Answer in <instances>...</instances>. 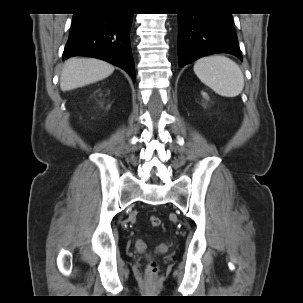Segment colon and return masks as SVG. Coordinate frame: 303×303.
<instances>
[{
  "instance_id": "5ec220e1",
  "label": "colon",
  "mask_w": 303,
  "mask_h": 303,
  "mask_svg": "<svg viewBox=\"0 0 303 303\" xmlns=\"http://www.w3.org/2000/svg\"><path fill=\"white\" fill-rule=\"evenodd\" d=\"M149 222H150L151 226L157 227L161 224V219L156 215H152L149 218ZM157 272H158L157 263L156 262H151L147 267L148 275L151 276V277H154V276H156Z\"/></svg>"
}]
</instances>
